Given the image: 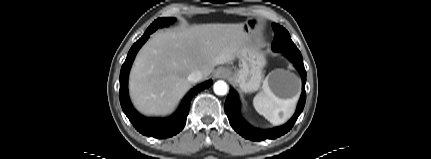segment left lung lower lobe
<instances>
[{
	"mask_svg": "<svg viewBox=\"0 0 431 159\" xmlns=\"http://www.w3.org/2000/svg\"><path fill=\"white\" fill-rule=\"evenodd\" d=\"M283 52L293 63L297 70L300 72L302 78V94L299 100L297 110L294 116L288 121L286 124L276 127L269 130H258L251 127L247 124L242 117L240 116V103L238 100V96L236 91L231 88L229 91V95L225 102V112L229 119L230 125L233 129L239 133L242 137L252 140V141H263L266 139H276L288 131L293 127L295 121L303 111L305 100H306V92H305V83H306V71L303 64V58L298 52H286V51H278Z\"/></svg>",
	"mask_w": 431,
	"mask_h": 159,
	"instance_id": "obj_1",
	"label": "left lung lower lobe"
}]
</instances>
